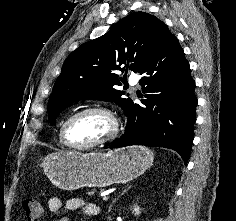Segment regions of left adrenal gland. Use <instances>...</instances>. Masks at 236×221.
<instances>
[{"label": "left adrenal gland", "instance_id": "left-adrenal-gland-1", "mask_svg": "<svg viewBox=\"0 0 236 221\" xmlns=\"http://www.w3.org/2000/svg\"><path fill=\"white\" fill-rule=\"evenodd\" d=\"M130 188H131V186H129L127 189H125V190L121 193V195L124 194L125 192H127ZM115 201H116V199H115V200L113 201V203L110 205L109 211H111V208H112L113 204L115 203Z\"/></svg>", "mask_w": 236, "mask_h": 221}]
</instances>
